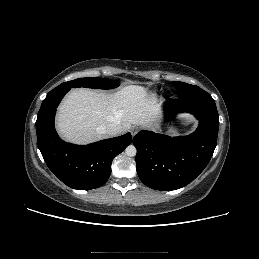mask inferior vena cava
I'll return each mask as SVG.
<instances>
[{
    "instance_id": "inferior-vena-cava-1",
    "label": "inferior vena cava",
    "mask_w": 259,
    "mask_h": 259,
    "mask_svg": "<svg viewBox=\"0 0 259 259\" xmlns=\"http://www.w3.org/2000/svg\"><path fill=\"white\" fill-rule=\"evenodd\" d=\"M98 131L109 137L118 136L123 132V127L117 123H111L105 127H99Z\"/></svg>"
}]
</instances>
